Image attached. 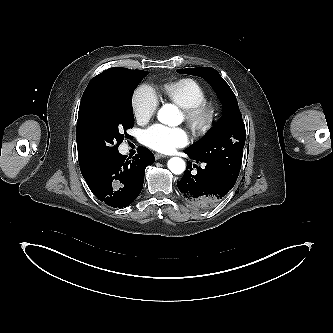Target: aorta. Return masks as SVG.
I'll use <instances>...</instances> for the list:
<instances>
[{"mask_svg":"<svg viewBox=\"0 0 333 333\" xmlns=\"http://www.w3.org/2000/svg\"><path fill=\"white\" fill-rule=\"evenodd\" d=\"M158 120L169 126H176L180 123V115L178 108L173 104L163 105L157 114ZM169 170L176 175L182 174L185 171V162L182 158L173 157L168 161Z\"/></svg>","mask_w":333,"mask_h":333,"instance_id":"obj_1","label":"aorta"}]
</instances>
